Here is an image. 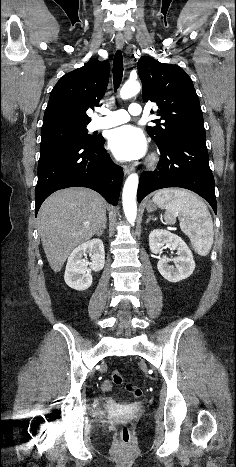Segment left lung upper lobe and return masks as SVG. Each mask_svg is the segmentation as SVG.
I'll return each mask as SVG.
<instances>
[{"label":"left lung upper lobe","mask_w":236,"mask_h":467,"mask_svg":"<svg viewBox=\"0 0 236 467\" xmlns=\"http://www.w3.org/2000/svg\"><path fill=\"white\" fill-rule=\"evenodd\" d=\"M144 102L158 105L157 126L146 128L158 146L188 132H205L203 114L191 78L178 65L141 57L137 64ZM164 120V123L159 121Z\"/></svg>","instance_id":"1"}]
</instances>
